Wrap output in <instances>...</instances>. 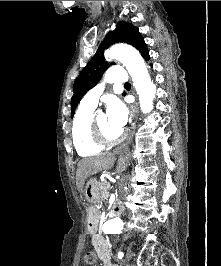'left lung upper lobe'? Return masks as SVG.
I'll return each instance as SVG.
<instances>
[{"label": "left lung upper lobe", "instance_id": "1", "mask_svg": "<svg viewBox=\"0 0 221 266\" xmlns=\"http://www.w3.org/2000/svg\"><path fill=\"white\" fill-rule=\"evenodd\" d=\"M119 42L134 46L145 59L149 58L147 46L138 28L125 21L119 22L115 30L106 35L96 54L76 78L73 87L74 95L71 99V118L81 98L99 82L106 69L110 66L104 58L105 49ZM111 64L113 65L114 63Z\"/></svg>", "mask_w": 221, "mask_h": 266}]
</instances>
